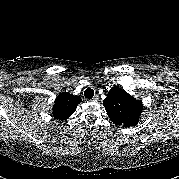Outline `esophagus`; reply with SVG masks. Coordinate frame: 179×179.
<instances>
[{"mask_svg": "<svg viewBox=\"0 0 179 179\" xmlns=\"http://www.w3.org/2000/svg\"><path fill=\"white\" fill-rule=\"evenodd\" d=\"M99 100V96L98 95H95L93 98H92V101H98Z\"/></svg>", "mask_w": 179, "mask_h": 179, "instance_id": "esophagus-1", "label": "esophagus"}]
</instances>
